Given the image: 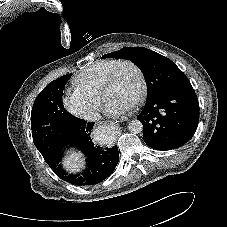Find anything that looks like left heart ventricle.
Masks as SVG:
<instances>
[{
    "instance_id": "obj_1",
    "label": "left heart ventricle",
    "mask_w": 227,
    "mask_h": 227,
    "mask_svg": "<svg viewBox=\"0 0 227 227\" xmlns=\"http://www.w3.org/2000/svg\"><path fill=\"white\" fill-rule=\"evenodd\" d=\"M139 90V77L131 66H124L114 85L106 95V101L123 102L132 104Z\"/></svg>"
}]
</instances>
